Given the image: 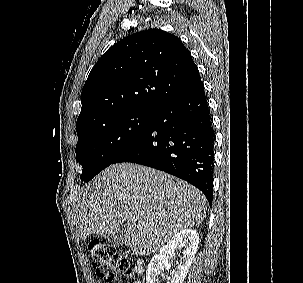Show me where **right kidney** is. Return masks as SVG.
<instances>
[{"label":"right kidney","mask_w":303,"mask_h":283,"mask_svg":"<svg viewBox=\"0 0 303 283\" xmlns=\"http://www.w3.org/2000/svg\"><path fill=\"white\" fill-rule=\"evenodd\" d=\"M198 244L199 235L193 229L187 228L174 234L159 253L151 258L146 271V283H160L158 276L164 268H170L168 258L174 254L177 248L184 250L175 269L170 271L167 283H183L197 252Z\"/></svg>","instance_id":"right-kidney-1"}]
</instances>
